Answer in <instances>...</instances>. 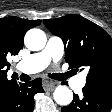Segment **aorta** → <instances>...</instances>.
Masks as SVG:
<instances>
[{
    "mask_svg": "<svg viewBox=\"0 0 112 112\" xmlns=\"http://www.w3.org/2000/svg\"><path fill=\"white\" fill-rule=\"evenodd\" d=\"M24 42L28 49L40 51L45 47L47 38L42 30L33 28L26 33ZM53 97L57 104L67 106L73 100V93L67 86L59 85L54 90Z\"/></svg>",
    "mask_w": 112,
    "mask_h": 112,
    "instance_id": "762f6f07",
    "label": "aorta"
}]
</instances>
